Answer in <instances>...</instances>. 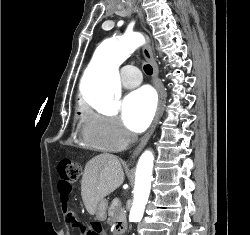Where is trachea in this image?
Returning <instances> with one entry per match:
<instances>
[{"mask_svg": "<svg viewBox=\"0 0 250 235\" xmlns=\"http://www.w3.org/2000/svg\"><path fill=\"white\" fill-rule=\"evenodd\" d=\"M144 71L146 74L151 75L153 72L152 66L149 64L144 65Z\"/></svg>", "mask_w": 250, "mask_h": 235, "instance_id": "1", "label": "trachea"}]
</instances>
